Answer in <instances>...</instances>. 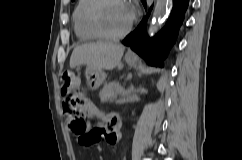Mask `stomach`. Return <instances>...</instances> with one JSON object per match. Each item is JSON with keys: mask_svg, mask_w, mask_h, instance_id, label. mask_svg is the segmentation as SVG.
Wrapping results in <instances>:
<instances>
[{"mask_svg": "<svg viewBox=\"0 0 242 160\" xmlns=\"http://www.w3.org/2000/svg\"><path fill=\"white\" fill-rule=\"evenodd\" d=\"M125 60L129 66L136 65V59L130 55H126ZM86 83L90 90H97L105 81L106 74L103 70L86 69Z\"/></svg>", "mask_w": 242, "mask_h": 160, "instance_id": "0dacf381", "label": "stomach"}]
</instances>
